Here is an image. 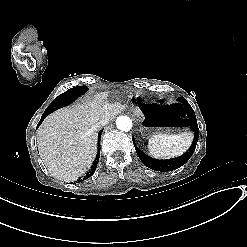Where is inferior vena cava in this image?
Masks as SVG:
<instances>
[{"instance_id": "inferior-vena-cava-1", "label": "inferior vena cava", "mask_w": 247, "mask_h": 247, "mask_svg": "<svg viewBox=\"0 0 247 247\" xmlns=\"http://www.w3.org/2000/svg\"><path fill=\"white\" fill-rule=\"evenodd\" d=\"M108 124V119L103 118L98 123H96V128H102L103 126Z\"/></svg>"}]
</instances>
